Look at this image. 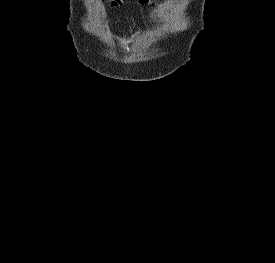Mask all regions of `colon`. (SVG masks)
Returning a JSON list of instances; mask_svg holds the SVG:
<instances>
[{"label": "colon", "instance_id": "5ec220e1", "mask_svg": "<svg viewBox=\"0 0 275 263\" xmlns=\"http://www.w3.org/2000/svg\"><path fill=\"white\" fill-rule=\"evenodd\" d=\"M140 3H142V4H148L151 0H138ZM114 3H116V2H118V0L117 1H113Z\"/></svg>", "mask_w": 275, "mask_h": 263}]
</instances>
